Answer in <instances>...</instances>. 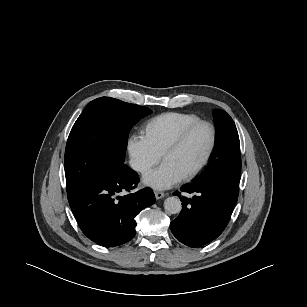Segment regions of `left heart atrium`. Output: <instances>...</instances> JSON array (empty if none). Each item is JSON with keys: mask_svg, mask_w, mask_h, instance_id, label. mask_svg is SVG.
<instances>
[{"mask_svg": "<svg viewBox=\"0 0 307 307\" xmlns=\"http://www.w3.org/2000/svg\"><path fill=\"white\" fill-rule=\"evenodd\" d=\"M183 178L182 173L168 162L162 163L158 168L149 171L143 176V182L155 189H167Z\"/></svg>", "mask_w": 307, "mask_h": 307, "instance_id": "left-heart-atrium-1", "label": "left heart atrium"}]
</instances>
